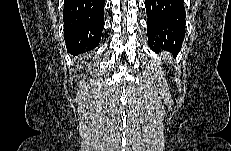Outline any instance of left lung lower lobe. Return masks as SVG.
I'll return each mask as SVG.
<instances>
[{
    "label": "left lung lower lobe",
    "instance_id": "left-lung-lower-lobe-1",
    "mask_svg": "<svg viewBox=\"0 0 231 151\" xmlns=\"http://www.w3.org/2000/svg\"><path fill=\"white\" fill-rule=\"evenodd\" d=\"M148 44L154 51L178 53L185 36L183 0H145Z\"/></svg>",
    "mask_w": 231,
    "mask_h": 151
}]
</instances>
